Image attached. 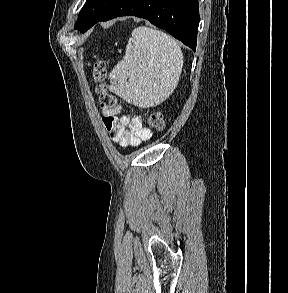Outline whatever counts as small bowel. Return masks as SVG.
Here are the masks:
<instances>
[{
    "instance_id": "obj_1",
    "label": "small bowel",
    "mask_w": 288,
    "mask_h": 293,
    "mask_svg": "<svg viewBox=\"0 0 288 293\" xmlns=\"http://www.w3.org/2000/svg\"><path fill=\"white\" fill-rule=\"evenodd\" d=\"M121 106L101 108L104 127L111 139L121 147L138 146L152 137V132L142 122L129 115L120 116Z\"/></svg>"
}]
</instances>
